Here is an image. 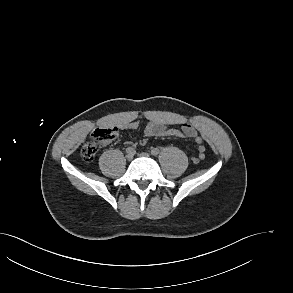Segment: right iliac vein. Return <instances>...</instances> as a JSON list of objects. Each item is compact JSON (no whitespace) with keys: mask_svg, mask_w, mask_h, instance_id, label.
Wrapping results in <instances>:
<instances>
[{"mask_svg":"<svg viewBox=\"0 0 293 293\" xmlns=\"http://www.w3.org/2000/svg\"><path fill=\"white\" fill-rule=\"evenodd\" d=\"M133 156H134V153H128V154L126 155V159H127L128 161H131V160L133 159Z\"/></svg>","mask_w":293,"mask_h":293,"instance_id":"right-iliac-vein-1","label":"right iliac vein"}]
</instances>
